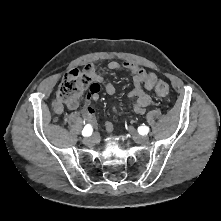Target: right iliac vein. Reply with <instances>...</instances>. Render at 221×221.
I'll return each mask as SVG.
<instances>
[{
	"instance_id": "obj_1",
	"label": "right iliac vein",
	"mask_w": 221,
	"mask_h": 221,
	"mask_svg": "<svg viewBox=\"0 0 221 221\" xmlns=\"http://www.w3.org/2000/svg\"><path fill=\"white\" fill-rule=\"evenodd\" d=\"M83 143L85 145H93L95 143V136L84 138Z\"/></svg>"
}]
</instances>
